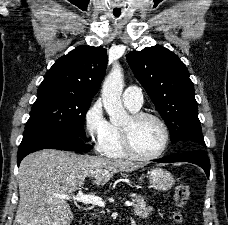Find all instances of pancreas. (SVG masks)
I'll return each mask as SVG.
<instances>
[{
    "label": "pancreas",
    "mask_w": 228,
    "mask_h": 225,
    "mask_svg": "<svg viewBox=\"0 0 228 225\" xmlns=\"http://www.w3.org/2000/svg\"><path fill=\"white\" fill-rule=\"evenodd\" d=\"M132 203H135L134 215H137L139 219H147L151 215L153 209L152 207H147L143 197H133Z\"/></svg>",
    "instance_id": "cf45deb5"
}]
</instances>
